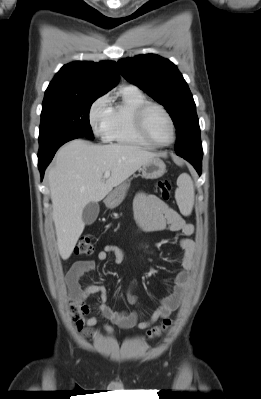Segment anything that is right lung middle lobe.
<instances>
[{
    "label": "right lung middle lobe",
    "instance_id": "dd1d6c3e",
    "mask_svg": "<svg viewBox=\"0 0 261 399\" xmlns=\"http://www.w3.org/2000/svg\"><path fill=\"white\" fill-rule=\"evenodd\" d=\"M98 97H44L39 143H43L62 132H75L93 140L94 136L89 123V110Z\"/></svg>",
    "mask_w": 261,
    "mask_h": 399
}]
</instances>
